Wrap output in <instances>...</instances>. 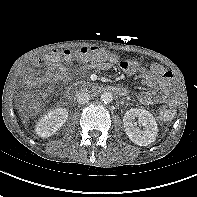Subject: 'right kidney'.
<instances>
[{
	"label": "right kidney",
	"mask_w": 197,
	"mask_h": 197,
	"mask_svg": "<svg viewBox=\"0 0 197 197\" xmlns=\"http://www.w3.org/2000/svg\"><path fill=\"white\" fill-rule=\"evenodd\" d=\"M67 118V109H53L39 120L35 131L40 137L47 138L54 134L66 122Z\"/></svg>",
	"instance_id": "ca27d5eb"
}]
</instances>
